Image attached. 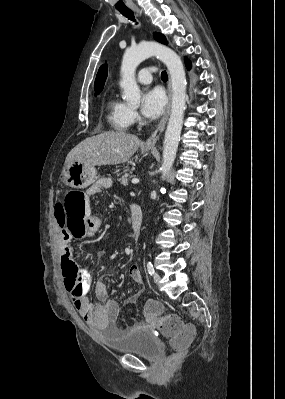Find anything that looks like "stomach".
<instances>
[{"label":"stomach","mask_w":285,"mask_h":399,"mask_svg":"<svg viewBox=\"0 0 285 399\" xmlns=\"http://www.w3.org/2000/svg\"><path fill=\"white\" fill-rule=\"evenodd\" d=\"M95 166L72 161L65 164L62 171L63 182L72 188L82 189L91 185L97 178Z\"/></svg>","instance_id":"obj_1"}]
</instances>
